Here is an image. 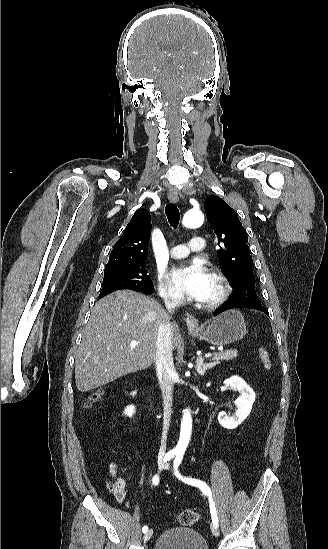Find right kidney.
<instances>
[{
  "instance_id": "ca27d5eb",
  "label": "right kidney",
  "mask_w": 328,
  "mask_h": 549,
  "mask_svg": "<svg viewBox=\"0 0 328 549\" xmlns=\"http://www.w3.org/2000/svg\"><path fill=\"white\" fill-rule=\"evenodd\" d=\"M131 395H136L135 391H133V393H131ZM134 413H135L134 405H129V407H127V409H125V415H128V417H132V415H134Z\"/></svg>"
}]
</instances>
